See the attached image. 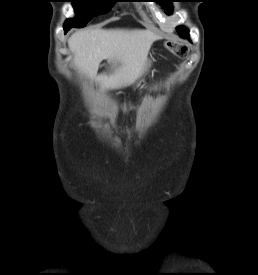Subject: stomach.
I'll use <instances>...</instances> for the list:
<instances>
[{
  "label": "stomach",
  "instance_id": "obj_1",
  "mask_svg": "<svg viewBox=\"0 0 258 275\" xmlns=\"http://www.w3.org/2000/svg\"><path fill=\"white\" fill-rule=\"evenodd\" d=\"M149 66H150V63L146 62V65H145V67H144L141 75L147 71V69L149 68Z\"/></svg>",
  "mask_w": 258,
  "mask_h": 275
}]
</instances>
